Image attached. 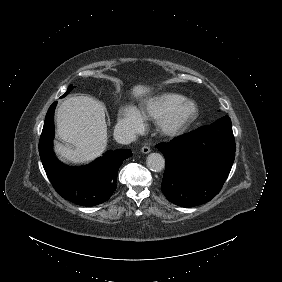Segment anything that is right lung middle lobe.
I'll return each instance as SVG.
<instances>
[{
	"label": "right lung middle lobe",
	"mask_w": 282,
	"mask_h": 282,
	"mask_svg": "<svg viewBox=\"0 0 282 282\" xmlns=\"http://www.w3.org/2000/svg\"><path fill=\"white\" fill-rule=\"evenodd\" d=\"M72 88H73V86L70 85L69 88H68V90H67V92L65 93V95H67V94L72 90Z\"/></svg>",
	"instance_id": "1"
}]
</instances>
